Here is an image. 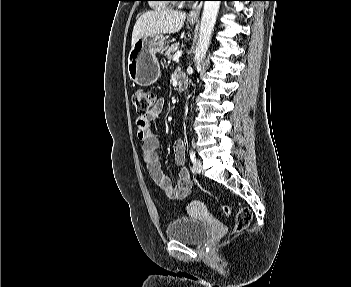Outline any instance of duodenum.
<instances>
[{
    "label": "duodenum",
    "instance_id": "duodenum-1",
    "mask_svg": "<svg viewBox=\"0 0 351 287\" xmlns=\"http://www.w3.org/2000/svg\"><path fill=\"white\" fill-rule=\"evenodd\" d=\"M185 87H186V83H185L184 79L180 78L179 79V88H180V90H184Z\"/></svg>",
    "mask_w": 351,
    "mask_h": 287
}]
</instances>
